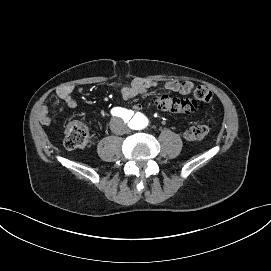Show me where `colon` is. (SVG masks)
<instances>
[{"label": "colon", "instance_id": "colon-1", "mask_svg": "<svg viewBox=\"0 0 271 271\" xmlns=\"http://www.w3.org/2000/svg\"><path fill=\"white\" fill-rule=\"evenodd\" d=\"M213 99L211 90L203 85H198L193 92V97H177L172 95H161L154 101L155 106L163 111L171 113H192L197 108V101L210 102ZM214 122L194 125L185 132L188 141H199L203 139L213 128ZM64 145L68 149H86L92 145V138L86 126L80 121H71L65 131Z\"/></svg>", "mask_w": 271, "mask_h": 271}]
</instances>
